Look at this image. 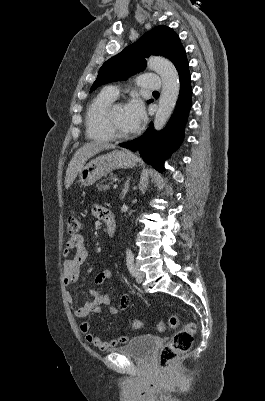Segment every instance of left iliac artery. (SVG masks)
Listing matches in <instances>:
<instances>
[{"mask_svg": "<svg viewBox=\"0 0 265 401\" xmlns=\"http://www.w3.org/2000/svg\"><path fill=\"white\" fill-rule=\"evenodd\" d=\"M127 267L129 269L131 275L133 277H135L136 274H137V271H136V267L134 265V256L133 255H128L127 256Z\"/></svg>", "mask_w": 265, "mask_h": 401, "instance_id": "obj_1", "label": "left iliac artery"}]
</instances>
